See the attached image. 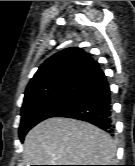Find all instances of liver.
<instances>
[{"instance_id":"6515ba94","label":"liver","mask_w":135,"mask_h":166,"mask_svg":"<svg viewBox=\"0 0 135 166\" xmlns=\"http://www.w3.org/2000/svg\"><path fill=\"white\" fill-rule=\"evenodd\" d=\"M116 146L100 128L76 119L50 118L24 140L25 165H112Z\"/></svg>"}]
</instances>
